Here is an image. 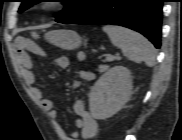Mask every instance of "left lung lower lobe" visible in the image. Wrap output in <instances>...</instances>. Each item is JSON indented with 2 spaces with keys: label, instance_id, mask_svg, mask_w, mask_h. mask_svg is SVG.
<instances>
[{
  "label": "left lung lower lobe",
  "instance_id": "obj_1",
  "mask_svg": "<svg viewBox=\"0 0 182 140\" xmlns=\"http://www.w3.org/2000/svg\"><path fill=\"white\" fill-rule=\"evenodd\" d=\"M164 0H102L74 24H114L140 32L156 48L161 45L162 4Z\"/></svg>",
  "mask_w": 182,
  "mask_h": 140
}]
</instances>
